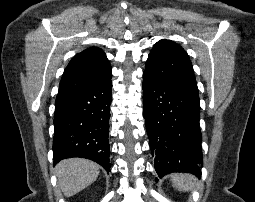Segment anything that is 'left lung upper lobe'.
<instances>
[{"instance_id": "obj_1", "label": "left lung upper lobe", "mask_w": 255, "mask_h": 202, "mask_svg": "<svg viewBox=\"0 0 255 202\" xmlns=\"http://www.w3.org/2000/svg\"><path fill=\"white\" fill-rule=\"evenodd\" d=\"M143 74L170 88L198 93L189 56L172 41L160 40L154 45Z\"/></svg>"}]
</instances>
